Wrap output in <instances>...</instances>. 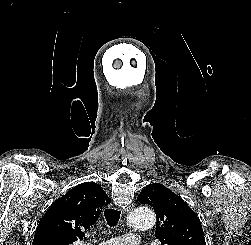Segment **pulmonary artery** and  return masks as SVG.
<instances>
[{
    "label": "pulmonary artery",
    "mask_w": 251,
    "mask_h": 245,
    "mask_svg": "<svg viewBox=\"0 0 251 245\" xmlns=\"http://www.w3.org/2000/svg\"><path fill=\"white\" fill-rule=\"evenodd\" d=\"M140 238L136 235H124L119 238L111 239L100 245H139Z\"/></svg>",
    "instance_id": "pulmonary-artery-1"
}]
</instances>
